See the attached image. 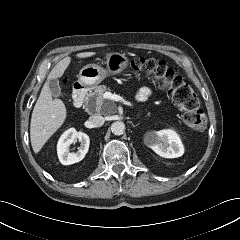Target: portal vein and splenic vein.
<instances>
[{
  "label": "portal vein and splenic vein",
  "instance_id": "1",
  "mask_svg": "<svg viewBox=\"0 0 240 240\" xmlns=\"http://www.w3.org/2000/svg\"><path fill=\"white\" fill-rule=\"evenodd\" d=\"M103 97L106 98V99L114 100V101L122 100V97H120L116 94H112L110 92L104 93Z\"/></svg>",
  "mask_w": 240,
  "mask_h": 240
}]
</instances>
